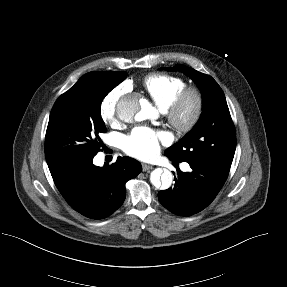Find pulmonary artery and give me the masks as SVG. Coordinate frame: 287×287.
I'll use <instances>...</instances> for the list:
<instances>
[{
	"label": "pulmonary artery",
	"mask_w": 287,
	"mask_h": 287,
	"mask_svg": "<svg viewBox=\"0 0 287 287\" xmlns=\"http://www.w3.org/2000/svg\"><path fill=\"white\" fill-rule=\"evenodd\" d=\"M183 169H184V170H188V169H189L188 164H184V165H183Z\"/></svg>",
	"instance_id": "obj_1"
}]
</instances>
